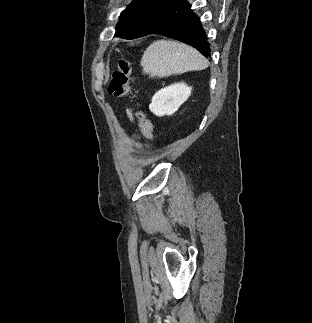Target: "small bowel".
Segmentation results:
<instances>
[{"label":"small bowel","mask_w":312,"mask_h":323,"mask_svg":"<svg viewBox=\"0 0 312 323\" xmlns=\"http://www.w3.org/2000/svg\"><path fill=\"white\" fill-rule=\"evenodd\" d=\"M125 113H126V116L128 117V119L133 122L134 121V116H133V112L130 108H125ZM136 137L133 138V140H135Z\"/></svg>","instance_id":"small-bowel-1"}]
</instances>
